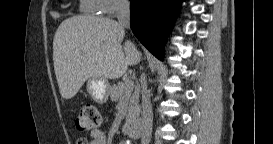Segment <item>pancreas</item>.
I'll use <instances>...</instances> for the list:
<instances>
[{
	"label": "pancreas",
	"instance_id": "1",
	"mask_svg": "<svg viewBox=\"0 0 273 144\" xmlns=\"http://www.w3.org/2000/svg\"><path fill=\"white\" fill-rule=\"evenodd\" d=\"M126 81L110 86L109 96L114 102L125 99L127 105L126 123L130 124L139 116L140 113L139 89L135 86H133L132 89L126 88ZM133 91L134 93L132 94Z\"/></svg>",
	"mask_w": 273,
	"mask_h": 144
}]
</instances>
